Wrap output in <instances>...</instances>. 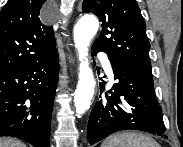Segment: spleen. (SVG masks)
Returning a JSON list of instances; mask_svg holds the SVG:
<instances>
[{"label":"spleen","instance_id":"3e777b00","mask_svg":"<svg viewBox=\"0 0 183 147\" xmlns=\"http://www.w3.org/2000/svg\"><path fill=\"white\" fill-rule=\"evenodd\" d=\"M101 147H160V145L145 134L123 132L109 136Z\"/></svg>","mask_w":183,"mask_h":147}]
</instances>
